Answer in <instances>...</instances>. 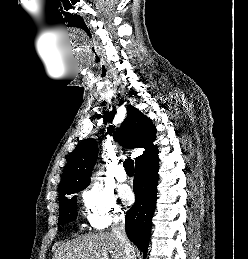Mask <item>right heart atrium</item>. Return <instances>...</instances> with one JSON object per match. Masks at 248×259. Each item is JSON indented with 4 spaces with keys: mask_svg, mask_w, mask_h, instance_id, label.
Listing matches in <instances>:
<instances>
[{
    "mask_svg": "<svg viewBox=\"0 0 248 259\" xmlns=\"http://www.w3.org/2000/svg\"><path fill=\"white\" fill-rule=\"evenodd\" d=\"M88 224L94 229H104L124 217L113 191L98 183L89 185L82 194Z\"/></svg>",
    "mask_w": 248,
    "mask_h": 259,
    "instance_id": "right-heart-atrium-1",
    "label": "right heart atrium"
}]
</instances>
